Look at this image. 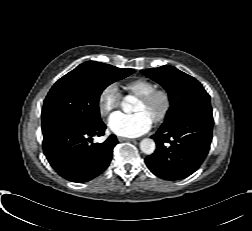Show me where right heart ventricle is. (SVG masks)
Masks as SVG:
<instances>
[{"instance_id": "1", "label": "right heart ventricle", "mask_w": 252, "mask_h": 231, "mask_svg": "<svg viewBox=\"0 0 252 231\" xmlns=\"http://www.w3.org/2000/svg\"><path fill=\"white\" fill-rule=\"evenodd\" d=\"M124 88L128 93L140 97L155 89L156 85L147 78L138 77L127 81Z\"/></svg>"}]
</instances>
